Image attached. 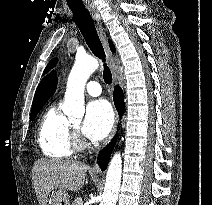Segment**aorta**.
Returning a JSON list of instances; mask_svg holds the SVG:
<instances>
[{
    "mask_svg": "<svg viewBox=\"0 0 212 205\" xmlns=\"http://www.w3.org/2000/svg\"><path fill=\"white\" fill-rule=\"evenodd\" d=\"M99 67V62L91 56H77L69 74L62 107L68 116H82L84 113V89L90 75ZM122 159L116 152L108 166L104 192L100 205H116L121 184Z\"/></svg>",
    "mask_w": 212,
    "mask_h": 205,
    "instance_id": "762f6f07",
    "label": "aorta"
}]
</instances>
